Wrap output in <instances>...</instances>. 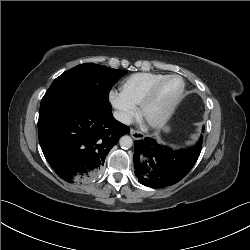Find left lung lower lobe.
<instances>
[{
    "instance_id": "obj_1",
    "label": "left lung lower lobe",
    "mask_w": 250,
    "mask_h": 250,
    "mask_svg": "<svg viewBox=\"0 0 250 250\" xmlns=\"http://www.w3.org/2000/svg\"><path fill=\"white\" fill-rule=\"evenodd\" d=\"M202 144L182 150H172L153 138L135 141L134 167L139 183L151 188H163L180 181L196 163Z\"/></svg>"
}]
</instances>
